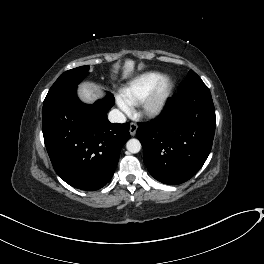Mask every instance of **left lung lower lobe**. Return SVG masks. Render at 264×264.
<instances>
[{
	"label": "left lung lower lobe",
	"instance_id": "left-lung-lower-lobe-1",
	"mask_svg": "<svg viewBox=\"0 0 264 264\" xmlns=\"http://www.w3.org/2000/svg\"><path fill=\"white\" fill-rule=\"evenodd\" d=\"M138 126L150 174L164 184H181L201 169L211 151L216 117L210 90L179 91L156 119Z\"/></svg>",
	"mask_w": 264,
	"mask_h": 264
}]
</instances>
